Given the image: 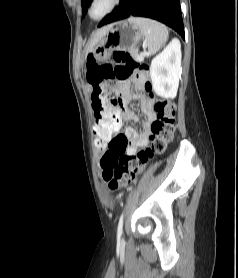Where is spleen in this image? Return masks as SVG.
<instances>
[{
	"instance_id": "spleen-1",
	"label": "spleen",
	"mask_w": 238,
	"mask_h": 278,
	"mask_svg": "<svg viewBox=\"0 0 238 278\" xmlns=\"http://www.w3.org/2000/svg\"><path fill=\"white\" fill-rule=\"evenodd\" d=\"M129 20L138 25L141 29L150 55H154L160 50L162 45L166 43L168 30L165 25L141 17H131Z\"/></svg>"
}]
</instances>
